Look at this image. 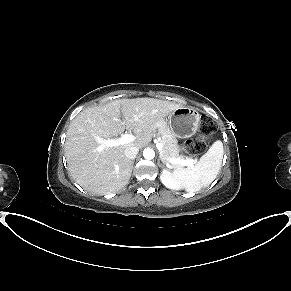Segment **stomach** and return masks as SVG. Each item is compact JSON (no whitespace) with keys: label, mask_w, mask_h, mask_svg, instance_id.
I'll return each instance as SVG.
<instances>
[{"label":"stomach","mask_w":291,"mask_h":291,"mask_svg":"<svg viewBox=\"0 0 291 291\" xmlns=\"http://www.w3.org/2000/svg\"><path fill=\"white\" fill-rule=\"evenodd\" d=\"M200 119L195 109L180 107L169 115V127L175 138H188L198 130Z\"/></svg>","instance_id":"stomach-1"}]
</instances>
